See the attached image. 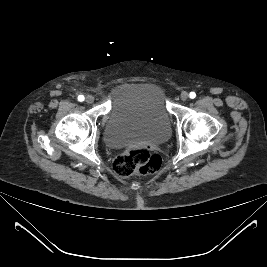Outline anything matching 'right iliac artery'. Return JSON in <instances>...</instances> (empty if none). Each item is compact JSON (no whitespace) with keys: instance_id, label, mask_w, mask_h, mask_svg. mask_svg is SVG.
Returning a JSON list of instances; mask_svg holds the SVG:
<instances>
[{"instance_id":"right-iliac-artery-1","label":"right iliac artery","mask_w":267,"mask_h":267,"mask_svg":"<svg viewBox=\"0 0 267 267\" xmlns=\"http://www.w3.org/2000/svg\"><path fill=\"white\" fill-rule=\"evenodd\" d=\"M78 100H79V101H83V100H84V96H83V95H79V96H78Z\"/></svg>"}]
</instances>
